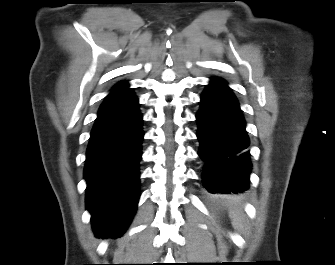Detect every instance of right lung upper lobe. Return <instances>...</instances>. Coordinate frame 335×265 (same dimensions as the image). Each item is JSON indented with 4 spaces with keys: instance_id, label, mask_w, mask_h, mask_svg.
<instances>
[{
    "instance_id": "obj_1",
    "label": "right lung upper lobe",
    "mask_w": 335,
    "mask_h": 265,
    "mask_svg": "<svg viewBox=\"0 0 335 265\" xmlns=\"http://www.w3.org/2000/svg\"><path fill=\"white\" fill-rule=\"evenodd\" d=\"M128 84L125 81H121L117 83L113 88L111 93L113 92H118V91H123V90H128Z\"/></svg>"
}]
</instances>
